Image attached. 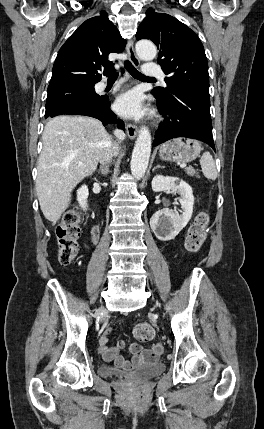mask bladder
Here are the masks:
<instances>
[{"mask_svg": "<svg viewBox=\"0 0 264 429\" xmlns=\"http://www.w3.org/2000/svg\"><path fill=\"white\" fill-rule=\"evenodd\" d=\"M164 370L165 365L160 360H158L154 363L138 367L127 374L120 373L112 367L103 366L99 369V374L104 377L127 376L132 380L146 381L159 376L164 372Z\"/></svg>", "mask_w": 264, "mask_h": 429, "instance_id": "1", "label": "bladder"}]
</instances>
